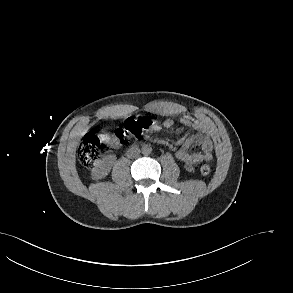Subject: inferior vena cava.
<instances>
[{"instance_id": "602c4592", "label": "inferior vena cava", "mask_w": 293, "mask_h": 293, "mask_svg": "<svg viewBox=\"0 0 293 293\" xmlns=\"http://www.w3.org/2000/svg\"><path fill=\"white\" fill-rule=\"evenodd\" d=\"M140 154V149L137 147H132L127 151V157L133 158L137 157Z\"/></svg>"}]
</instances>
